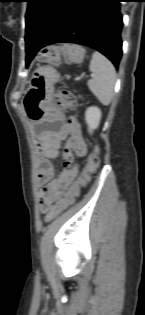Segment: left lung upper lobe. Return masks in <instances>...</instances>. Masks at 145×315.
I'll list each match as a JSON object with an SVG mask.
<instances>
[{"instance_id":"1","label":"left lung upper lobe","mask_w":145,"mask_h":315,"mask_svg":"<svg viewBox=\"0 0 145 315\" xmlns=\"http://www.w3.org/2000/svg\"><path fill=\"white\" fill-rule=\"evenodd\" d=\"M73 0H28L26 34L45 40Z\"/></svg>"}]
</instances>
